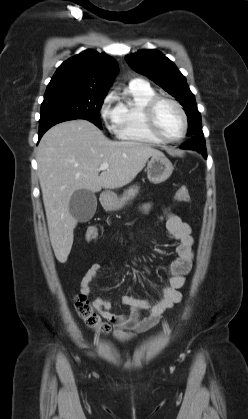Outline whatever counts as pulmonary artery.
<instances>
[{
    "label": "pulmonary artery",
    "instance_id": "pulmonary-artery-1",
    "mask_svg": "<svg viewBox=\"0 0 248 419\" xmlns=\"http://www.w3.org/2000/svg\"><path fill=\"white\" fill-rule=\"evenodd\" d=\"M130 83L131 84H144L145 82L143 81V80H141V79H138V78H136V79H132L131 81H130Z\"/></svg>",
    "mask_w": 248,
    "mask_h": 419
}]
</instances>
